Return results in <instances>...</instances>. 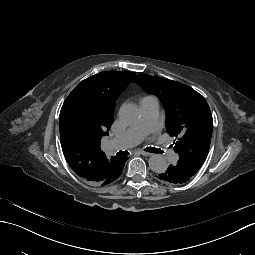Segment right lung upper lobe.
Instances as JSON below:
<instances>
[{"mask_svg": "<svg viewBox=\"0 0 255 255\" xmlns=\"http://www.w3.org/2000/svg\"><path fill=\"white\" fill-rule=\"evenodd\" d=\"M134 75L129 71L95 74L80 82L62 106L59 128L75 123L87 132V137L82 140L61 142L63 154L70 167L93 184H110L123 171L127 157L114 156L109 159L100 144L113 123L116 100Z\"/></svg>", "mask_w": 255, "mask_h": 255, "instance_id": "obj_1", "label": "right lung upper lobe"}]
</instances>
